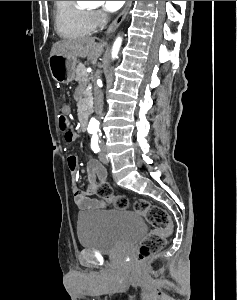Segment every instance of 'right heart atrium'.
I'll list each match as a JSON object with an SVG mask.
<instances>
[{
    "label": "right heart atrium",
    "mask_w": 237,
    "mask_h": 300,
    "mask_svg": "<svg viewBox=\"0 0 237 300\" xmlns=\"http://www.w3.org/2000/svg\"><path fill=\"white\" fill-rule=\"evenodd\" d=\"M105 20L104 15L99 11H94L91 13V26L92 29L97 28Z\"/></svg>",
    "instance_id": "obj_1"
}]
</instances>
